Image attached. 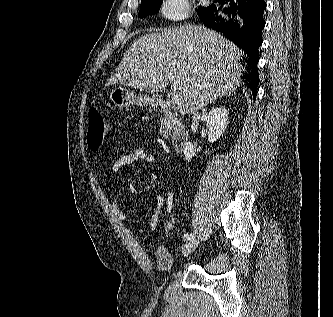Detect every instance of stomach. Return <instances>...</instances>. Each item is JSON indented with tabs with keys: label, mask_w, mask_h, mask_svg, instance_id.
Returning a JSON list of instances; mask_svg holds the SVG:
<instances>
[{
	"label": "stomach",
	"mask_w": 333,
	"mask_h": 317,
	"mask_svg": "<svg viewBox=\"0 0 333 317\" xmlns=\"http://www.w3.org/2000/svg\"><path fill=\"white\" fill-rule=\"evenodd\" d=\"M111 102L119 108L129 107L131 105L147 106L155 103L154 97L137 96L133 91L124 87H115L110 92Z\"/></svg>",
	"instance_id": "stomach-1"
}]
</instances>
